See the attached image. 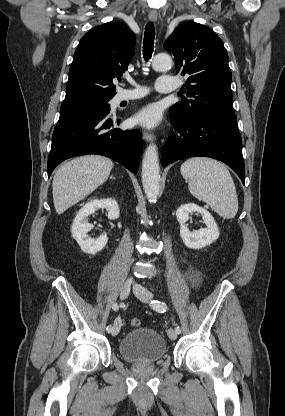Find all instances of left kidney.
Masks as SVG:
<instances>
[{
    "mask_svg": "<svg viewBox=\"0 0 285 416\" xmlns=\"http://www.w3.org/2000/svg\"><path fill=\"white\" fill-rule=\"evenodd\" d=\"M193 212L201 214L207 228L196 230V232H190L189 228L185 226V222L189 220V214H193ZM176 218L180 224V236L187 248L201 250V248L210 246L212 242H215V240H218L219 238V228L214 218H212L207 210L200 208V206H196V204H184V206H180L176 212Z\"/></svg>",
    "mask_w": 285,
    "mask_h": 416,
    "instance_id": "1",
    "label": "left kidney"
}]
</instances>
